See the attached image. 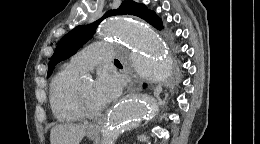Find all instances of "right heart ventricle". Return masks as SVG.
<instances>
[{
    "label": "right heart ventricle",
    "instance_id": "e07e8e85",
    "mask_svg": "<svg viewBox=\"0 0 260 144\" xmlns=\"http://www.w3.org/2000/svg\"><path fill=\"white\" fill-rule=\"evenodd\" d=\"M83 72L71 62L64 64L50 84V104L55 118L60 122H74L81 115L74 105L76 86Z\"/></svg>",
    "mask_w": 260,
    "mask_h": 144
}]
</instances>
